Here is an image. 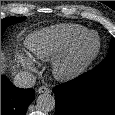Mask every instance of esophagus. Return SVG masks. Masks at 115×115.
<instances>
[{
  "label": "esophagus",
  "instance_id": "esophagus-1",
  "mask_svg": "<svg viewBox=\"0 0 115 115\" xmlns=\"http://www.w3.org/2000/svg\"><path fill=\"white\" fill-rule=\"evenodd\" d=\"M37 92L40 93H50V89L47 86H40L37 90Z\"/></svg>",
  "mask_w": 115,
  "mask_h": 115
}]
</instances>
